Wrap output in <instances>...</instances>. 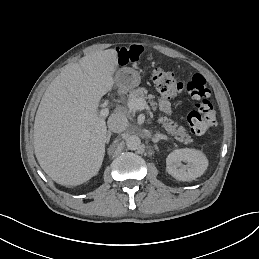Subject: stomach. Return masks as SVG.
<instances>
[{
  "label": "stomach",
  "instance_id": "stomach-1",
  "mask_svg": "<svg viewBox=\"0 0 259 259\" xmlns=\"http://www.w3.org/2000/svg\"><path fill=\"white\" fill-rule=\"evenodd\" d=\"M115 79L122 91H129L140 84L138 71L130 67L119 70L116 73Z\"/></svg>",
  "mask_w": 259,
  "mask_h": 259
}]
</instances>
